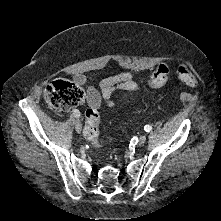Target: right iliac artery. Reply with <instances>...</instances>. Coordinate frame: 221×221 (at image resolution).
Wrapping results in <instances>:
<instances>
[{
  "instance_id": "1",
  "label": "right iliac artery",
  "mask_w": 221,
  "mask_h": 221,
  "mask_svg": "<svg viewBox=\"0 0 221 221\" xmlns=\"http://www.w3.org/2000/svg\"><path fill=\"white\" fill-rule=\"evenodd\" d=\"M72 114H73L75 117H80V112H79V110H77V109H74V110L72 111Z\"/></svg>"
}]
</instances>
